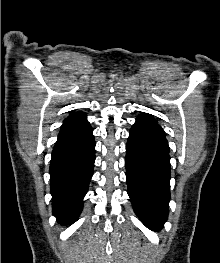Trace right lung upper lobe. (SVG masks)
I'll return each mask as SVG.
<instances>
[{
	"label": "right lung upper lobe",
	"mask_w": 220,
	"mask_h": 263,
	"mask_svg": "<svg viewBox=\"0 0 220 263\" xmlns=\"http://www.w3.org/2000/svg\"><path fill=\"white\" fill-rule=\"evenodd\" d=\"M90 128L91 126L86 120V115L84 113L78 112L71 114L67 119H65L60 133L77 134L86 132Z\"/></svg>",
	"instance_id": "right-lung-upper-lobe-1"
}]
</instances>
